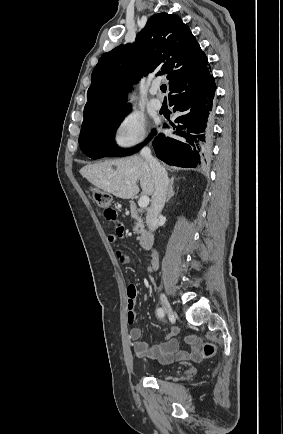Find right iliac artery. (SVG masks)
<instances>
[{
    "mask_svg": "<svg viewBox=\"0 0 283 434\" xmlns=\"http://www.w3.org/2000/svg\"><path fill=\"white\" fill-rule=\"evenodd\" d=\"M156 314L159 318H163L164 317V311L162 308H157L156 310Z\"/></svg>",
    "mask_w": 283,
    "mask_h": 434,
    "instance_id": "right-iliac-artery-1",
    "label": "right iliac artery"
}]
</instances>
